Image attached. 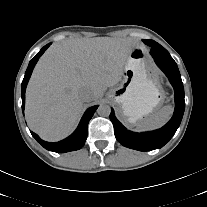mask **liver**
<instances>
[{"mask_svg":"<svg viewBox=\"0 0 207 207\" xmlns=\"http://www.w3.org/2000/svg\"><path fill=\"white\" fill-rule=\"evenodd\" d=\"M138 43L131 38H80L53 44L38 61L26 90V120L47 141L76 127L83 103L96 101L121 81L124 65ZM84 91L90 93L83 100Z\"/></svg>","mask_w":207,"mask_h":207,"instance_id":"liver-1","label":"liver"}]
</instances>
